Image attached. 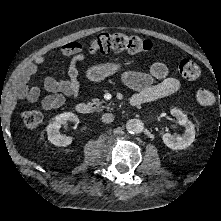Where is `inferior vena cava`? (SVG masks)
Masks as SVG:
<instances>
[{
  "label": "inferior vena cava",
  "mask_w": 221,
  "mask_h": 221,
  "mask_svg": "<svg viewBox=\"0 0 221 221\" xmlns=\"http://www.w3.org/2000/svg\"><path fill=\"white\" fill-rule=\"evenodd\" d=\"M101 119L103 123H111L114 120V115L112 113H105Z\"/></svg>",
  "instance_id": "602c4592"
}]
</instances>
